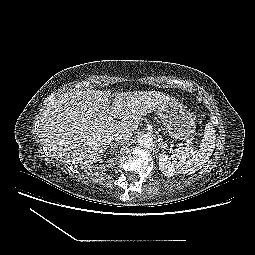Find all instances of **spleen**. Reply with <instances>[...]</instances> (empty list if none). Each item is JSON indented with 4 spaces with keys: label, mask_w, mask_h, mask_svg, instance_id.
<instances>
[{
    "label": "spleen",
    "mask_w": 255,
    "mask_h": 255,
    "mask_svg": "<svg viewBox=\"0 0 255 255\" xmlns=\"http://www.w3.org/2000/svg\"><path fill=\"white\" fill-rule=\"evenodd\" d=\"M216 134L212 123H207L199 148L179 147L172 153L178 173L193 174L200 170L210 159L215 148Z\"/></svg>",
    "instance_id": "spleen-1"
}]
</instances>
